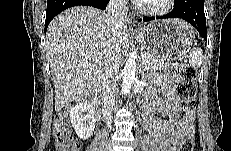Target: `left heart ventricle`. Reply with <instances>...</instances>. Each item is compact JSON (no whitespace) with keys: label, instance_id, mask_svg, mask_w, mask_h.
I'll return each instance as SVG.
<instances>
[{"label":"left heart ventricle","instance_id":"1","mask_svg":"<svg viewBox=\"0 0 231 151\" xmlns=\"http://www.w3.org/2000/svg\"><path fill=\"white\" fill-rule=\"evenodd\" d=\"M163 2H164V0H153V1H148L146 3H150L154 6H160Z\"/></svg>","mask_w":231,"mask_h":151}]
</instances>
